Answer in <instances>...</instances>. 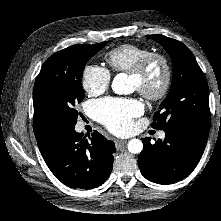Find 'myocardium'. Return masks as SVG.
Listing matches in <instances>:
<instances>
[{"instance_id": "1", "label": "myocardium", "mask_w": 221, "mask_h": 221, "mask_svg": "<svg viewBox=\"0 0 221 221\" xmlns=\"http://www.w3.org/2000/svg\"><path fill=\"white\" fill-rule=\"evenodd\" d=\"M160 64L162 67V79L158 87L150 89L144 85L143 80L151 68ZM129 76L138 80L137 90L148 100H160L164 98L172 84V67L165 55L159 52H149L130 71Z\"/></svg>"}]
</instances>
